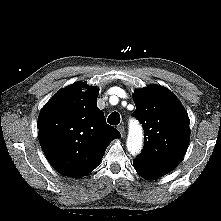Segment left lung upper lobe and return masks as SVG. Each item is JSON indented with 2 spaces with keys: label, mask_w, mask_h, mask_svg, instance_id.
Here are the masks:
<instances>
[{
  "label": "left lung upper lobe",
  "mask_w": 221,
  "mask_h": 221,
  "mask_svg": "<svg viewBox=\"0 0 221 221\" xmlns=\"http://www.w3.org/2000/svg\"><path fill=\"white\" fill-rule=\"evenodd\" d=\"M133 99V115L145 133L143 152L133 162L169 173L179 164L189 144L188 114L174 94L162 86L136 90Z\"/></svg>",
  "instance_id": "left-lung-upper-lobe-1"
}]
</instances>
